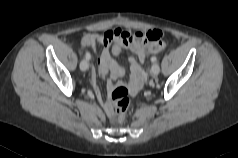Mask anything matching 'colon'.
<instances>
[{"label": "colon", "mask_w": 238, "mask_h": 158, "mask_svg": "<svg viewBox=\"0 0 238 158\" xmlns=\"http://www.w3.org/2000/svg\"><path fill=\"white\" fill-rule=\"evenodd\" d=\"M147 38L152 42V45L150 51L144 54V58H146L148 54L156 53L164 47L160 33L148 34ZM110 98L109 118L112 122L121 123L125 119L131 102L128 89L124 85H116L111 89Z\"/></svg>", "instance_id": "colon-1"}]
</instances>
